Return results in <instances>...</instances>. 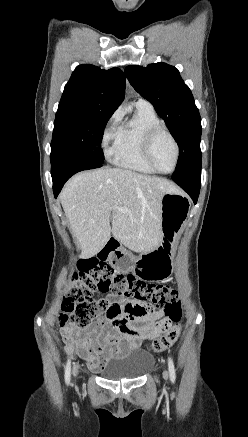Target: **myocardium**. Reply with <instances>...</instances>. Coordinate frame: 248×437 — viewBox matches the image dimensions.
I'll list each match as a JSON object with an SVG mask.
<instances>
[{
  "mask_svg": "<svg viewBox=\"0 0 248 437\" xmlns=\"http://www.w3.org/2000/svg\"><path fill=\"white\" fill-rule=\"evenodd\" d=\"M160 134L167 135L171 139V141L174 145V148H175L174 165H173V168L168 172L162 171L157 167V165L154 162L153 155H152V149H153L154 142ZM142 150H143V156H144L147 164L155 172L160 173V174H171L176 170V168L178 166L179 159H180V146H179V143H178L176 137L166 127H164L162 125H157V126L152 127L151 129H149L144 136Z\"/></svg>",
  "mask_w": 248,
  "mask_h": 437,
  "instance_id": "myocardium-1",
  "label": "myocardium"
}]
</instances>
